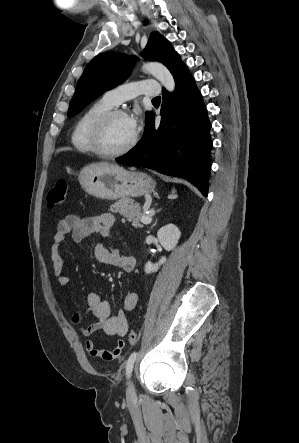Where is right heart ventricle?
Wrapping results in <instances>:
<instances>
[{"instance_id":"right-heart-ventricle-1","label":"right heart ventricle","mask_w":299,"mask_h":443,"mask_svg":"<svg viewBox=\"0 0 299 443\" xmlns=\"http://www.w3.org/2000/svg\"><path fill=\"white\" fill-rule=\"evenodd\" d=\"M114 106L104 98L92 103L76 121L72 134L71 143L74 148L84 154L94 153L90 143V132L95 120L104 112Z\"/></svg>"}]
</instances>
